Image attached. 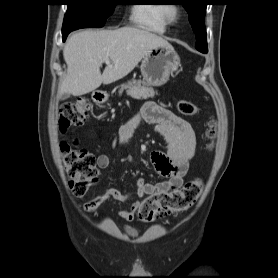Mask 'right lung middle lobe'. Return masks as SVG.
I'll use <instances>...</instances> for the list:
<instances>
[{"mask_svg": "<svg viewBox=\"0 0 278 278\" xmlns=\"http://www.w3.org/2000/svg\"><path fill=\"white\" fill-rule=\"evenodd\" d=\"M66 12L62 33L85 27H102L113 13L117 0H65Z\"/></svg>", "mask_w": 278, "mask_h": 278, "instance_id": "dd1d6c3e", "label": "right lung middle lobe"}]
</instances>
